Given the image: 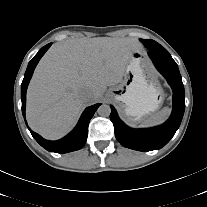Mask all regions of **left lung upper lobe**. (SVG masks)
Here are the masks:
<instances>
[{
	"instance_id": "1",
	"label": "left lung upper lobe",
	"mask_w": 207,
	"mask_h": 207,
	"mask_svg": "<svg viewBox=\"0 0 207 207\" xmlns=\"http://www.w3.org/2000/svg\"><path fill=\"white\" fill-rule=\"evenodd\" d=\"M141 42L147 47L149 48V50H163L164 48L159 44L157 43L156 41L154 40H145V39H141Z\"/></svg>"
}]
</instances>
